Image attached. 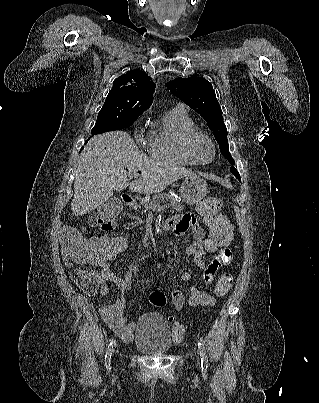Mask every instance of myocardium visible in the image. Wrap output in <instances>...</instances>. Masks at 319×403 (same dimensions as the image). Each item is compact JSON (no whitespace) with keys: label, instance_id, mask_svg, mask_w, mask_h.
<instances>
[{"label":"myocardium","instance_id":"myocardium-1","mask_svg":"<svg viewBox=\"0 0 319 403\" xmlns=\"http://www.w3.org/2000/svg\"><path fill=\"white\" fill-rule=\"evenodd\" d=\"M199 139H203L206 142H208V144L211 146L212 149V157L209 161H202L198 158L196 150H195V146H196V142ZM183 147L185 152L197 163V164H207L209 162H212L215 158L216 155V147L215 144L213 142V140L209 137L208 134H206L205 132L195 129L192 130L190 132H188L183 140Z\"/></svg>","mask_w":319,"mask_h":403}]
</instances>
